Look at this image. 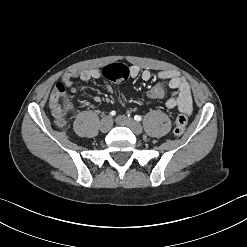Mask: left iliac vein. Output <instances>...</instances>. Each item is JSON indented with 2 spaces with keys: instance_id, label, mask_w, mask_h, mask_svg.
I'll return each instance as SVG.
<instances>
[{
  "instance_id": "obj_1",
  "label": "left iliac vein",
  "mask_w": 247,
  "mask_h": 247,
  "mask_svg": "<svg viewBox=\"0 0 247 247\" xmlns=\"http://www.w3.org/2000/svg\"><path fill=\"white\" fill-rule=\"evenodd\" d=\"M115 120H116L117 124L130 128L137 135H139L143 132V128H142L141 124L132 118H129V117L124 116V115H120V116L116 117Z\"/></svg>"
}]
</instances>
